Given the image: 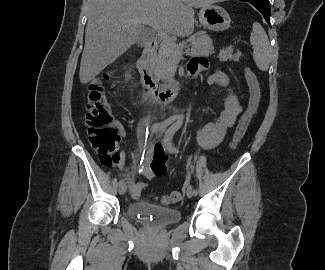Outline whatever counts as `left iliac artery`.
<instances>
[{
  "label": "left iliac artery",
  "instance_id": "44dca946",
  "mask_svg": "<svg viewBox=\"0 0 325 270\" xmlns=\"http://www.w3.org/2000/svg\"><path fill=\"white\" fill-rule=\"evenodd\" d=\"M181 123L176 122L174 123L166 132L165 137H164V143L165 146L169 149L170 152L172 153H178L179 150L174 146L172 138L174 134L177 132V130L180 128ZM197 190L194 189V195H197Z\"/></svg>",
  "mask_w": 325,
  "mask_h": 270
}]
</instances>
